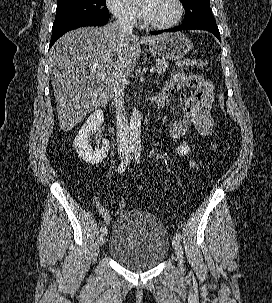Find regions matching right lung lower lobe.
<instances>
[{
	"mask_svg": "<svg viewBox=\"0 0 272 303\" xmlns=\"http://www.w3.org/2000/svg\"><path fill=\"white\" fill-rule=\"evenodd\" d=\"M107 24V20H99V19H82L75 20L69 23L63 24L61 26L52 28V37L50 41L49 48L66 32L83 27V26H103Z\"/></svg>",
	"mask_w": 272,
	"mask_h": 303,
	"instance_id": "1",
	"label": "right lung lower lobe"
}]
</instances>
